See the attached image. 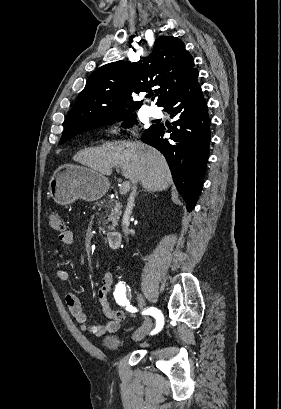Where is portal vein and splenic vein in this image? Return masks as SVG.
Segmentation results:
<instances>
[{
	"label": "portal vein and splenic vein",
	"mask_w": 281,
	"mask_h": 409,
	"mask_svg": "<svg viewBox=\"0 0 281 409\" xmlns=\"http://www.w3.org/2000/svg\"><path fill=\"white\" fill-rule=\"evenodd\" d=\"M132 187V182L130 180H123L121 182V186H120V194L122 196H127L128 195V190Z\"/></svg>",
	"instance_id": "1"
}]
</instances>
